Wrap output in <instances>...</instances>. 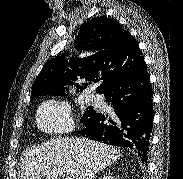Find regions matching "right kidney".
Returning <instances> with one entry per match:
<instances>
[{"mask_svg": "<svg viewBox=\"0 0 183 179\" xmlns=\"http://www.w3.org/2000/svg\"><path fill=\"white\" fill-rule=\"evenodd\" d=\"M100 179H114L112 176H103L102 178H100Z\"/></svg>", "mask_w": 183, "mask_h": 179, "instance_id": "1", "label": "right kidney"}]
</instances>
